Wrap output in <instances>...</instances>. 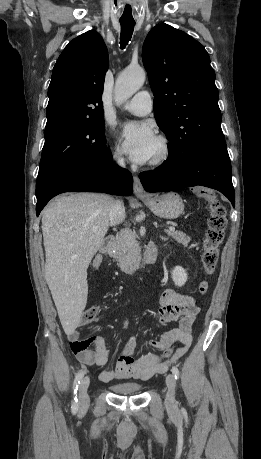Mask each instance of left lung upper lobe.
<instances>
[{"label":"left lung upper lobe","mask_w":261,"mask_h":459,"mask_svg":"<svg viewBox=\"0 0 261 459\" xmlns=\"http://www.w3.org/2000/svg\"><path fill=\"white\" fill-rule=\"evenodd\" d=\"M142 60L155 96V119L170 142L168 159L184 163L199 151L226 146L215 73L205 48L161 23L147 35Z\"/></svg>","instance_id":"1"}]
</instances>
